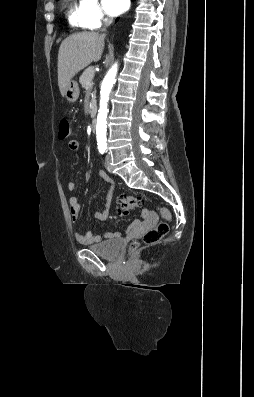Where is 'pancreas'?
Wrapping results in <instances>:
<instances>
[{
  "label": "pancreas",
  "mask_w": 254,
  "mask_h": 397,
  "mask_svg": "<svg viewBox=\"0 0 254 397\" xmlns=\"http://www.w3.org/2000/svg\"><path fill=\"white\" fill-rule=\"evenodd\" d=\"M94 68L92 66L88 67L85 69L83 74L79 78V82L82 85V87L86 90L87 96L92 95V105L93 107L96 105L95 101V93L92 92V80L94 77Z\"/></svg>",
  "instance_id": "pancreas-1"
}]
</instances>
